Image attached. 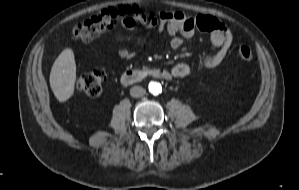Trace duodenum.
<instances>
[{"label":"duodenum","mask_w":299,"mask_h":190,"mask_svg":"<svg viewBox=\"0 0 299 190\" xmlns=\"http://www.w3.org/2000/svg\"><path fill=\"white\" fill-rule=\"evenodd\" d=\"M147 77H153L157 79H170L171 74L168 70L163 68L132 69L122 75L121 81L125 85H131Z\"/></svg>","instance_id":"410a0bca"}]
</instances>
